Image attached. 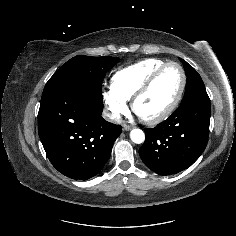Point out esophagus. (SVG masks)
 <instances>
[{
    "mask_svg": "<svg viewBox=\"0 0 236 236\" xmlns=\"http://www.w3.org/2000/svg\"><path fill=\"white\" fill-rule=\"evenodd\" d=\"M132 129V126L131 125H127V124H124L123 125V130L124 131H129V130H131Z\"/></svg>",
    "mask_w": 236,
    "mask_h": 236,
    "instance_id": "esophagus-1",
    "label": "esophagus"
}]
</instances>
